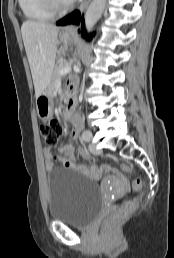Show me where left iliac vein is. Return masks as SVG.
Returning a JSON list of instances; mask_svg holds the SVG:
<instances>
[{
    "label": "left iliac vein",
    "mask_w": 174,
    "mask_h": 258,
    "mask_svg": "<svg viewBox=\"0 0 174 258\" xmlns=\"http://www.w3.org/2000/svg\"><path fill=\"white\" fill-rule=\"evenodd\" d=\"M89 149L94 155H99L101 153V151L96 148L95 144H90Z\"/></svg>",
    "instance_id": "left-iliac-vein-1"
}]
</instances>
